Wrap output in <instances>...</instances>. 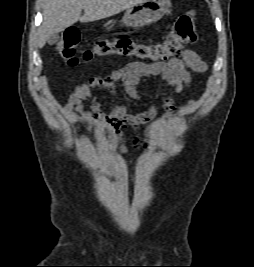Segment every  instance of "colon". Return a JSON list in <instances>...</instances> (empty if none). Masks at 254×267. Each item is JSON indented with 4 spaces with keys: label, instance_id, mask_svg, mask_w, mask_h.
Wrapping results in <instances>:
<instances>
[{
    "label": "colon",
    "instance_id": "5ec220e1",
    "mask_svg": "<svg viewBox=\"0 0 254 267\" xmlns=\"http://www.w3.org/2000/svg\"><path fill=\"white\" fill-rule=\"evenodd\" d=\"M80 39L79 30L71 27L65 30L63 37L56 46L58 54L70 67L77 66L81 59L88 61L94 57L110 55L162 62L181 55L185 46L196 41V19L192 12L181 15L171 26L166 38L159 43H138L132 38L125 36L114 39H98L91 49L84 52L81 58L76 54Z\"/></svg>",
    "mask_w": 254,
    "mask_h": 267
}]
</instances>
